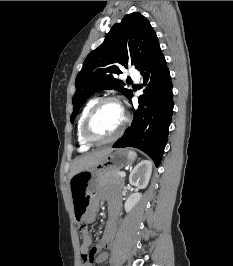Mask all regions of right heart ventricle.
<instances>
[{"label":"right heart ventricle","instance_id":"obj_1","mask_svg":"<svg viewBox=\"0 0 233 266\" xmlns=\"http://www.w3.org/2000/svg\"><path fill=\"white\" fill-rule=\"evenodd\" d=\"M98 101L97 98H92L90 99L86 104L85 106L83 107L80 115H79V118H78V122H77V130H76V134H77V141H78V144H79V149L80 151H86L88 150L91 145L88 144L82 137V125H83V122H84V119L87 115V113L89 112L90 108Z\"/></svg>","mask_w":233,"mask_h":266}]
</instances>
